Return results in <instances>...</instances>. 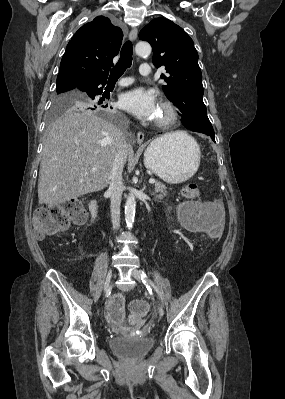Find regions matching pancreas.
<instances>
[{"label":"pancreas","instance_id":"obj_1","mask_svg":"<svg viewBox=\"0 0 285 399\" xmlns=\"http://www.w3.org/2000/svg\"><path fill=\"white\" fill-rule=\"evenodd\" d=\"M154 190L155 193H159V195H157L158 198H164L168 194L167 188L160 182L154 184Z\"/></svg>","mask_w":285,"mask_h":399}]
</instances>
